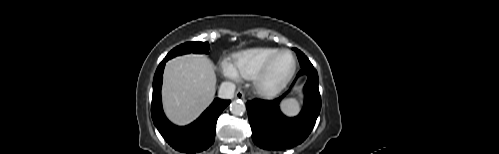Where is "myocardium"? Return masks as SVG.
<instances>
[{
  "label": "myocardium",
  "mask_w": 499,
  "mask_h": 154,
  "mask_svg": "<svg viewBox=\"0 0 499 154\" xmlns=\"http://www.w3.org/2000/svg\"><path fill=\"white\" fill-rule=\"evenodd\" d=\"M288 55L291 60V65L288 71L279 79L275 81L270 80L271 68L278 57L281 55ZM296 59L292 52L288 50L277 51L272 55L264 64L262 69L253 78V86L255 91L266 98H271L278 95L290 82L296 71Z\"/></svg>",
  "instance_id": "1"
}]
</instances>
